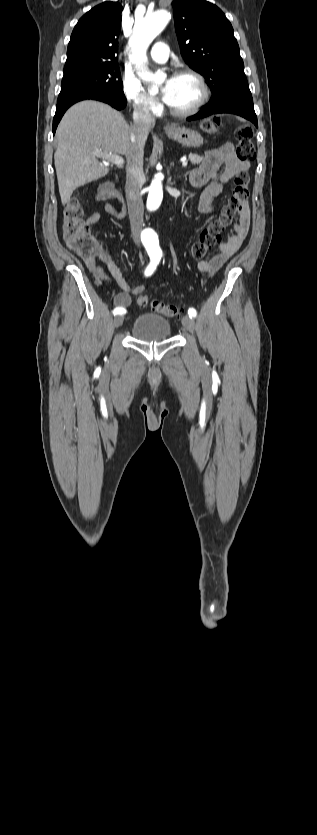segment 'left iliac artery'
Instances as JSON below:
<instances>
[{"instance_id": "obj_1", "label": "left iliac artery", "mask_w": 317, "mask_h": 835, "mask_svg": "<svg viewBox=\"0 0 317 835\" xmlns=\"http://www.w3.org/2000/svg\"><path fill=\"white\" fill-rule=\"evenodd\" d=\"M188 315H189V317H191V318H192V317H196L197 312H196V310H195L194 308H189V310H188Z\"/></svg>"}]
</instances>
